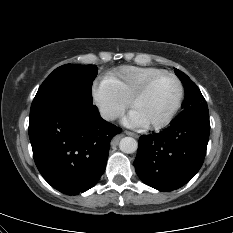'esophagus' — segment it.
I'll use <instances>...</instances> for the list:
<instances>
[{
	"label": "esophagus",
	"mask_w": 233,
	"mask_h": 233,
	"mask_svg": "<svg viewBox=\"0 0 233 233\" xmlns=\"http://www.w3.org/2000/svg\"><path fill=\"white\" fill-rule=\"evenodd\" d=\"M126 134H127V135H130V136H135V134H134V133L129 132V131H126Z\"/></svg>",
	"instance_id": "34e87169"
}]
</instances>
